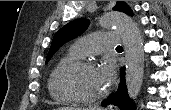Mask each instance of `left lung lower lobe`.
Returning a JSON list of instances; mask_svg holds the SVG:
<instances>
[{"mask_svg": "<svg viewBox=\"0 0 171 110\" xmlns=\"http://www.w3.org/2000/svg\"><path fill=\"white\" fill-rule=\"evenodd\" d=\"M121 82L119 84L118 90L109 99L102 102L103 106H118L120 110H135V107L130 100L127 87L125 84V68L120 70Z\"/></svg>", "mask_w": 171, "mask_h": 110, "instance_id": "left-lung-lower-lobe-1", "label": "left lung lower lobe"}]
</instances>
